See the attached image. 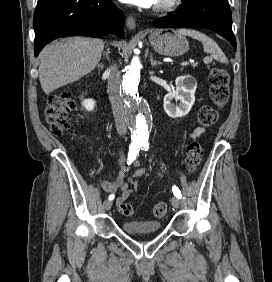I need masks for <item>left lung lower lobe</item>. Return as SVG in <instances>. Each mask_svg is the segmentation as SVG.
I'll return each mask as SVG.
<instances>
[{
    "instance_id": "obj_1",
    "label": "left lung lower lobe",
    "mask_w": 272,
    "mask_h": 282,
    "mask_svg": "<svg viewBox=\"0 0 272 282\" xmlns=\"http://www.w3.org/2000/svg\"><path fill=\"white\" fill-rule=\"evenodd\" d=\"M154 25L158 28L209 29L227 39L236 50L231 10L227 0H182L177 14L158 18Z\"/></svg>"
}]
</instances>
